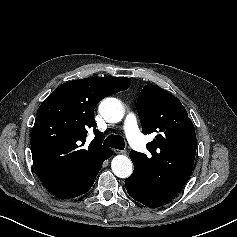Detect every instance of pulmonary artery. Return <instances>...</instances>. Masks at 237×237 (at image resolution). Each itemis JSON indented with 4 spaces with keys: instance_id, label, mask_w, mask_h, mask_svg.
Returning <instances> with one entry per match:
<instances>
[{
    "instance_id": "pulmonary-artery-1",
    "label": "pulmonary artery",
    "mask_w": 237,
    "mask_h": 237,
    "mask_svg": "<svg viewBox=\"0 0 237 237\" xmlns=\"http://www.w3.org/2000/svg\"><path fill=\"white\" fill-rule=\"evenodd\" d=\"M125 132L130 144L137 148H143L142 135L137 126V120L133 113H128L124 123Z\"/></svg>"
}]
</instances>
